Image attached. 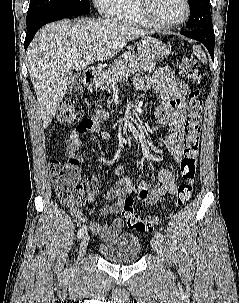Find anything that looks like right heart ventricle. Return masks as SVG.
I'll use <instances>...</instances> for the list:
<instances>
[{"label": "right heart ventricle", "mask_w": 239, "mask_h": 303, "mask_svg": "<svg viewBox=\"0 0 239 303\" xmlns=\"http://www.w3.org/2000/svg\"><path fill=\"white\" fill-rule=\"evenodd\" d=\"M114 19L134 25L147 26L137 12L135 0H121Z\"/></svg>", "instance_id": "right-heart-ventricle-1"}]
</instances>
